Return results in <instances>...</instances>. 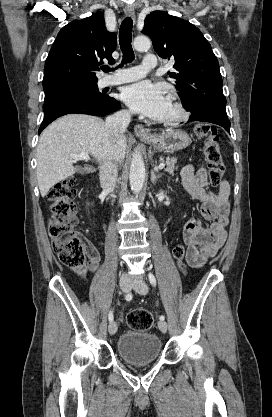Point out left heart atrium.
I'll list each match as a JSON object with an SVG mask.
<instances>
[{"mask_svg":"<svg viewBox=\"0 0 272 417\" xmlns=\"http://www.w3.org/2000/svg\"><path fill=\"white\" fill-rule=\"evenodd\" d=\"M121 97L133 111L153 119H160L168 102L163 86L149 81L127 86Z\"/></svg>","mask_w":272,"mask_h":417,"instance_id":"1","label":"left heart atrium"}]
</instances>
